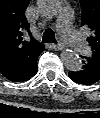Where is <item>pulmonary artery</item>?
<instances>
[{"instance_id":"obj_1","label":"pulmonary artery","mask_w":100,"mask_h":118,"mask_svg":"<svg viewBox=\"0 0 100 118\" xmlns=\"http://www.w3.org/2000/svg\"><path fill=\"white\" fill-rule=\"evenodd\" d=\"M72 12L68 8H63L59 13L58 30L62 38L67 41L74 50L80 54H88L90 46L81 35L75 31L71 23Z\"/></svg>"}]
</instances>
